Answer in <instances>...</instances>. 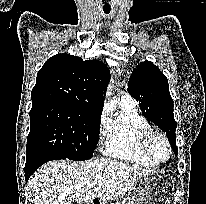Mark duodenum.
I'll return each instance as SVG.
<instances>
[{
  "instance_id": "obj_1",
  "label": "duodenum",
  "mask_w": 206,
  "mask_h": 204,
  "mask_svg": "<svg viewBox=\"0 0 206 204\" xmlns=\"http://www.w3.org/2000/svg\"><path fill=\"white\" fill-rule=\"evenodd\" d=\"M91 204H100V201L98 199H94Z\"/></svg>"
}]
</instances>
